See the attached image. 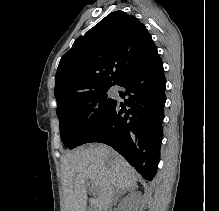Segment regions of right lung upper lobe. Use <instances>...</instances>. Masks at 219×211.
Masks as SVG:
<instances>
[{"instance_id": "obj_1", "label": "right lung upper lobe", "mask_w": 219, "mask_h": 211, "mask_svg": "<svg viewBox=\"0 0 219 211\" xmlns=\"http://www.w3.org/2000/svg\"><path fill=\"white\" fill-rule=\"evenodd\" d=\"M158 56L151 35L136 17L112 12L62 56L55 76L57 103L116 86Z\"/></svg>"}]
</instances>
